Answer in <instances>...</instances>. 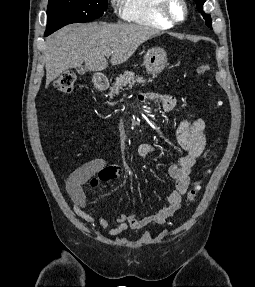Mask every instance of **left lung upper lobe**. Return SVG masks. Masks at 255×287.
Masks as SVG:
<instances>
[{
  "instance_id": "1",
  "label": "left lung upper lobe",
  "mask_w": 255,
  "mask_h": 287,
  "mask_svg": "<svg viewBox=\"0 0 255 287\" xmlns=\"http://www.w3.org/2000/svg\"><path fill=\"white\" fill-rule=\"evenodd\" d=\"M194 1L196 2L197 9H198L199 12L203 15V17H204V19H205V21H206V25L212 29V27H211V21H212V20H211V17H210L209 14H206V13H204V11H203V5H204V3H205L206 0H194Z\"/></svg>"
}]
</instances>
